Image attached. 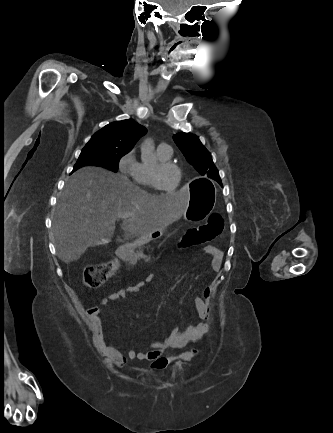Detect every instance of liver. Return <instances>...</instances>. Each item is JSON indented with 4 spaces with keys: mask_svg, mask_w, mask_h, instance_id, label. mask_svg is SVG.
Returning <instances> with one entry per match:
<instances>
[{
    "mask_svg": "<svg viewBox=\"0 0 333 433\" xmlns=\"http://www.w3.org/2000/svg\"><path fill=\"white\" fill-rule=\"evenodd\" d=\"M186 192L149 194L126 177L94 166L67 178L57 203L53 233L57 255L65 263L78 260L89 247L110 242L118 213H129L122 230L128 236L161 231L188 209Z\"/></svg>",
    "mask_w": 333,
    "mask_h": 433,
    "instance_id": "1",
    "label": "liver"
}]
</instances>
